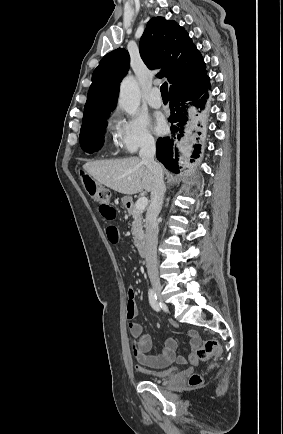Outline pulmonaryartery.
<instances>
[{
	"label": "pulmonary artery",
	"instance_id": "obj_1",
	"mask_svg": "<svg viewBox=\"0 0 283 434\" xmlns=\"http://www.w3.org/2000/svg\"><path fill=\"white\" fill-rule=\"evenodd\" d=\"M148 104L152 107V108H160L162 106V99L160 97V92L159 89L157 87H154L148 96Z\"/></svg>",
	"mask_w": 283,
	"mask_h": 434
}]
</instances>
